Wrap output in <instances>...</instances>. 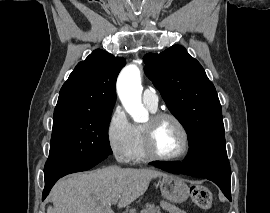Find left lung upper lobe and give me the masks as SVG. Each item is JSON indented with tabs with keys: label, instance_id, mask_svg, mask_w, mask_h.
Listing matches in <instances>:
<instances>
[{
	"label": "left lung upper lobe",
	"instance_id": "obj_1",
	"mask_svg": "<svg viewBox=\"0 0 270 213\" xmlns=\"http://www.w3.org/2000/svg\"><path fill=\"white\" fill-rule=\"evenodd\" d=\"M145 73L189 133V153L203 177L230 178L222 109L200 63L179 45L143 58Z\"/></svg>",
	"mask_w": 270,
	"mask_h": 213
}]
</instances>
